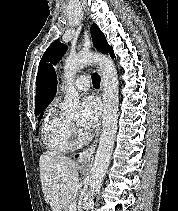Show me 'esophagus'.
I'll return each instance as SVG.
<instances>
[{
	"mask_svg": "<svg viewBox=\"0 0 178 211\" xmlns=\"http://www.w3.org/2000/svg\"><path fill=\"white\" fill-rule=\"evenodd\" d=\"M98 70L101 75L100 97L103 99V89H102L103 88V77H102L101 70L99 67H98ZM100 132H101V126L97 130L96 135H95L93 141L91 142V144L80 154V156L77 160L78 167L85 168V167L89 166V161H90V159L97 147V144H98Z\"/></svg>",
	"mask_w": 178,
	"mask_h": 211,
	"instance_id": "34e87169",
	"label": "esophagus"
}]
</instances>
